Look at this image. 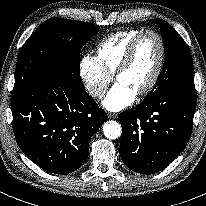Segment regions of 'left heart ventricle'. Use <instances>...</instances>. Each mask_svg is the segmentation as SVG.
<instances>
[{
    "mask_svg": "<svg viewBox=\"0 0 206 206\" xmlns=\"http://www.w3.org/2000/svg\"><path fill=\"white\" fill-rule=\"evenodd\" d=\"M159 54L160 46L157 38L152 34L144 35L138 43L129 67L118 76L116 81L137 94L150 81L158 63Z\"/></svg>",
    "mask_w": 206,
    "mask_h": 206,
    "instance_id": "obj_1",
    "label": "left heart ventricle"
}]
</instances>
